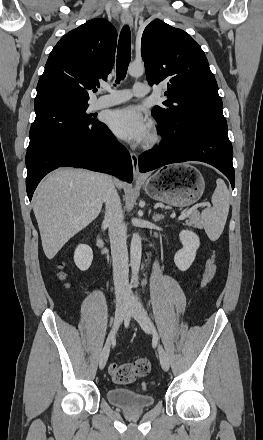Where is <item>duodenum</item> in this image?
Here are the masks:
<instances>
[{"label":"duodenum","mask_w":263,"mask_h":440,"mask_svg":"<svg viewBox=\"0 0 263 440\" xmlns=\"http://www.w3.org/2000/svg\"><path fill=\"white\" fill-rule=\"evenodd\" d=\"M96 244L102 254L108 253V248H107L105 241L103 240V238L100 234H98V236L96 238Z\"/></svg>","instance_id":"obj_1"}]
</instances>
